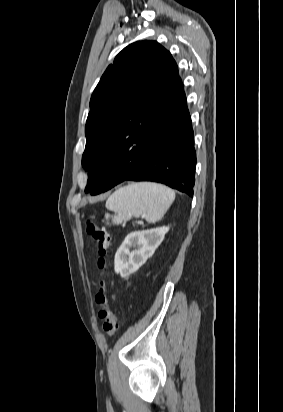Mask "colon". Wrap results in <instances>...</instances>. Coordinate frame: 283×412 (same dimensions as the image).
I'll list each match as a JSON object with an SVG mask.
<instances>
[{"label": "colon", "mask_w": 283, "mask_h": 412, "mask_svg": "<svg viewBox=\"0 0 283 412\" xmlns=\"http://www.w3.org/2000/svg\"><path fill=\"white\" fill-rule=\"evenodd\" d=\"M86 231L96 243L98 250V267L102 272L99 291L96 294L95 300L101 307L99 315L103 319V330L107 335L113 336L118 330V323L109 301L107 281L103 273L107 266L106 256L112 246V238L106 229L98 226L91 219H88L86 222Z\"/></svg>", "instance_id": "5ec220e1"}]
</instances>
